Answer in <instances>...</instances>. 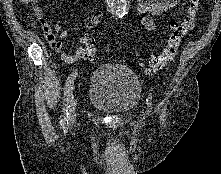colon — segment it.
<instances>
[{
	"mask_svg": "<svg viewBox=\"0 0 221 174\" xmlns=\"http://www.w3.org/2000/svg\"><path fill=\"white\" fill-rule=\"evenodd\" d=\"M23 4H32L36 0H20ZM201 0H188L187 12L179 21L171 24L166 45L159 53L153 55L146 63L147 72H157L164 68L177 55L183 38L190 33L194 27ZM84 60H93L96 56V48L92 41L85 39L80 47Z\"/></svg>",
	"mask_w": 221,
	"mask_h": 174,
	"instance_id": "5ec220e1",
	"label": "colon"
}]
</instances>
